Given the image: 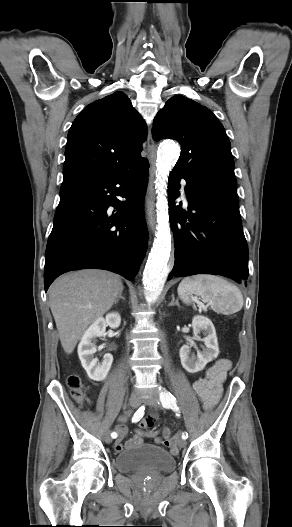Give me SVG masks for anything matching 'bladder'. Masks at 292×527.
Instances as JSON below:
<instances>
[{
	"label": "bladder",
	"instance_id": "obj_1",
	"mask_svg": "<svg viewBox=\"0 0 292 527\" xmlns=\"http://www.w3.org/2000/svg\"><path fill=\"white\" fill-rule=\"evenodd\" d=\"M175 465L176 460L168 450L152 444L129 447L115 459L117 470L123 473H167L174 470Z\"/></svg>",
	"mask_w": 292,
	"mask_h": 527
}]
</instances>
